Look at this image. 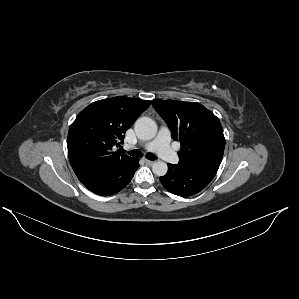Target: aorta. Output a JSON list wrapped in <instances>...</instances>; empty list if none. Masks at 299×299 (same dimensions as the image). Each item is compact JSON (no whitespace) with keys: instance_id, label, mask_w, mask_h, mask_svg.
<instances>
[{"instance_id":"762f6f07","label":"aorta","mask_w":299,"mask_h":299,"mask_svg":"<svg viewBox=\"0 0 299 299\" xmlns=\"http://www.w3.org/2000/svg\"><path fill=\"white\" fill-rule=\"evenodd\" d=\"M135 132L142 140H151L156 136L157 125L149 117H141L135 122ZM152 171L157 176H164L168 171V166L163 161H155L152 165Z\"/></svg>"}]
</instances>
